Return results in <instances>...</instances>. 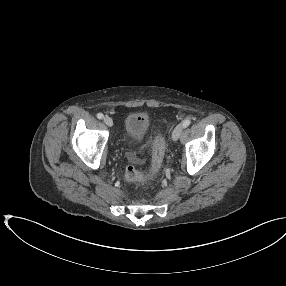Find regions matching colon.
<instances>
[{"label":"colon","mask_w":286,"mask_h":286,"mask_svg":"<svg viewBox=\"0 0 286 286\" xmlns=\"http://www.w3.org/2000/svg\"><path fill=\"white\" fill-rule=\"evenodd\" d=\"M164 153H165L164 137L162 135H157L154 139L152 146L151 169L148 175L139 172L133 164H129L125 170V175L127 180L131 182H137L144 180L147 176H153L157 174L163 164ZM130 158H133L132 154H130Z\"/></svg>","instance_id":"1"}]
</instances>
